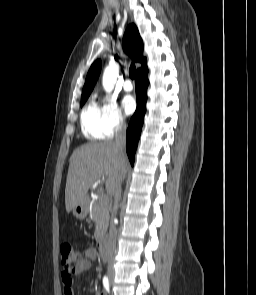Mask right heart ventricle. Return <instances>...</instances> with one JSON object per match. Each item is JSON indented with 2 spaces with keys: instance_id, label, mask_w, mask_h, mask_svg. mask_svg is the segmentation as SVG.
I'll return each mask as SVG.
<instances>
[{
  "instance_id": "right-heart-ventricle-1",
  "label": "right heart ventricle",
  "mask_w": 256,
  "mask_h": 295,
  "mask_svg": "<svg viewBox=\"0 0 256 295\" xmlns=\"http://www.w3.org/2000/svg\"><path fill=\"white\" fill-rule=\"evenodd\" d=\"M83 135L90 140H102L109 137L103 120L102 107L90 100L80 117Z\"/></svg>"
}]
</instances>
